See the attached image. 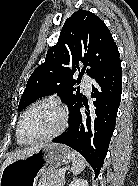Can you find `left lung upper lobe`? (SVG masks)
Wrapping results in <instances>:
<instances>
[{
	"label": "left lung upper lobe",
	"instance_id": "1",
	"mask_svg": "<svg viewBox=\"0 0 138 186\" xmlns=\"http://www.w3.org/2000/svg\"><path fill=\"white\" fill-rule=\"evenodd\" d=\"M119 56L109 29L98 16L82 9L74 12L65 21L57 44L48 50L45 62L30 76L18 110L39 97L57 93L71 111L82 99V94L74 88L78 80L73 79L80 65H84L80 75L86 71L94 79Z\"/></svg>",
	"mask_w": 138,
	"mask_h": 186
}]
</instances>
